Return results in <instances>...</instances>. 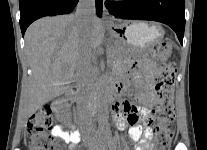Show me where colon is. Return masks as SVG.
<instances>
[{"mask_svg": "<svg viewBox=\"0 0 207 150\" xmlns=\"http://www.w3.org/2000/svg\"><path fill=\"white\" fill-rule=\"evenodd\" d=\"M171 52L166 40L158 42L152 49V57L160 63L156 73V91L159 101L148 122L154 127L158 150H167L173 134L175 106L174 90L176 68L166 63ZM53 127L51 109L43 107L30 116L27 132L29 150H62L58 140L49 131Z\"/></svg>", "mask_w": 207, "mask_h": 150, "instance_id": "5ec220e1", "label": "colon"}]
</instances>
